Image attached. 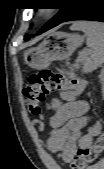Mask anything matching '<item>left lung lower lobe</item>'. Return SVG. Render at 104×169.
Listing matches in <instances>:
<instances>
[{
  "instance_id": "obj_1",
  "label": "left lung lower lobe",
  "mask_w": 104,
  "mask_h": 169,
  "mask_svg": "<svg viewBox=\"0 0 104 169\" xmlns=\"http://www.w3.org/2000/svg\"><path fill=\"white\" fill-rule=\"evenodd\" d=\"M91 20L104 22L103 1L79 0L76 9L63 21ZM62 22V23H63ZM45 32L40 30L38 34ZM26 41L28 39H25Z\"/></svg>"
}]
</instances>
